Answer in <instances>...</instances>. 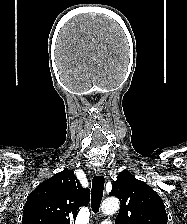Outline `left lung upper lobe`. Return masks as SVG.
<instances>
[{
    "label": "left lung upper lobe",
    "mask_w": 187,
    "mask_h": 224,
    "mask_svg": "<svg viewBox=\"0 0 187 224\" xmlns=\"http://www.w3.org/2000/svg\"><path fill=\"white\" fill-rule=\"evenodd\" d=\"M109 194L119 198L121 203L116 224H167L160 196L130 172L124 170L117 176Z\"/></svg>",
    "instance_id": "5c2ea615"
}]
</instances>
